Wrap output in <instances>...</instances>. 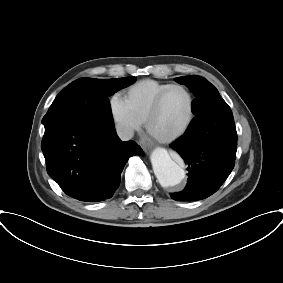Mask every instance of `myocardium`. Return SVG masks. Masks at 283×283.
I'll use <instances>...</instances> for the list:
<instances>
[{
	"label": "myocardium",
	"mask_w": 283,
	"mask_h": 283,
	"mask_svg": "<svg viewBox=\"0 0 283 283\" xmlns=\"http://www.w3.org/2000/svg\"><path fill=\"white\" fill-rule=\"evenodd\" d=\"M173 89H181L183 91L186 92V94L188 95L189 98V112H188V116L185 120V122L183 123V125L174 133L167 135V136H160L155 134L152 131L151 128V124L152 121L154 120V118L156 117V115L158 114L161 104L165 98V96ZM194 114H195V97L192 93V91L185 85L182 84H171L168 87H166L164 90H162L157 97L155 98L147 116L145 119V128L146 131L156 140L163 142V143H170L173 142L175 140H177L178 138H180L181 136H183L185 134V132L188 130V128L190 127L193 118H194Z\"/></svg>",
	"instance_id": "myocardium-1"
}]
</instances>
